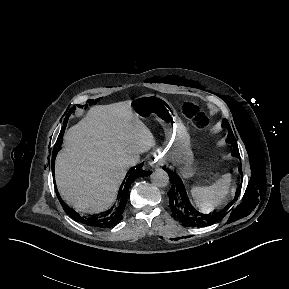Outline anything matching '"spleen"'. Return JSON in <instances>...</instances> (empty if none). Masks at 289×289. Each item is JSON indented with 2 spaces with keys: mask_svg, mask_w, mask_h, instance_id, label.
Masks as SVG:
<instances>
[{
  "mask_svg": "<svg viewBox=\"0 0 289 289\" xmlns=\"http://www.w3.org/2000/svg\"><path fill=\"white\" fill-rule=\"evenodd\" d=\"M231 186V174L222 175L210 186L193 187L191 194L196 206L205 212H211L223 205Z\"/></svg>",
  "mask_w": 289,
  "mask_h": 289,
  "instance_id": "obj_1",
  "label": "spleen"
}]
</instances>
